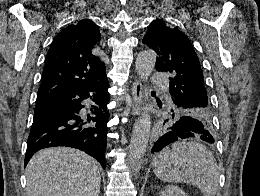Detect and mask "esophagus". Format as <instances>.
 I'll list each match as a JSON object with an SVG mask.
<instances>
[{
	"instance_id": "esophagus-1",
	"label": "esophagus",
	"mask_w": 260,
	"mask_h": 196,
	"mask_svg": "<svg viewBox=\"0 0 260 196\" xmlns=\"http://www.w3.org/2000/svg\"><path fill=\"white\" fill-rule=\"evenodd\" d=\"M142 84L140 81H135L132 86V97H133V106L132 113L134 115H139L141 110V100H142Z\"/></svg>"
}]
</instances>
